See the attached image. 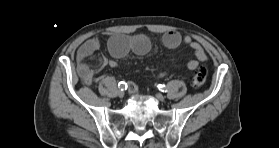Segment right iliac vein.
<instances>
[{
  "label": "right iliac vein",
  "instance_id": "63e3f726",
  "mask_svg": "<svg viewBox=\"0 0 279 148\" xmlns=\"http://www.w3.org/2000/svg\"><path fill=\"white\" fill-rule=\"evenodd\" d=\"M124 95H125L124 90H119V91H118V96H119V97H123Z\"/></svg>",
  "mask_w": 279,
  "mask_h": 148
}]
</instances>
